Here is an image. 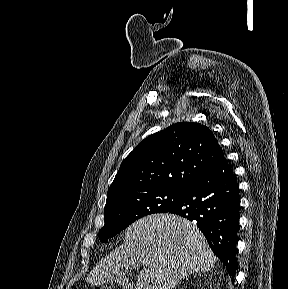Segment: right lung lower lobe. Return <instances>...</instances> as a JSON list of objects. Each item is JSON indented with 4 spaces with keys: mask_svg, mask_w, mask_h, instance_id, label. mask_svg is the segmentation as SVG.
I'll list each match as a JSON object with an SVG mask.
<instances>
[{
    "mask_svg": "<svg viewBox=\"0 0 288 289\" xmlns=\"http://www.w3.org/2000/svg\"><path fill=\"white\" fill-rule=\"evenodd\" d=\"M239 188L226 158L194 178L181 200L168 212L196 222L232 281L237 269Z\"/></svg>",
    "mask_w": 288,
    "mask_h": 289,
    "instance_id": "right-lung-lower-lobe-1",
    "label": "right lung lower lobe"
}]
</instances>
